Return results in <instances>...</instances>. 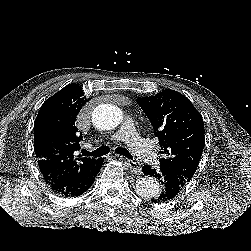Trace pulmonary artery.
Returning a JSON list of instances; mask_svg holds the SVG:
<instances>
[{
    "instance_id": "1",
    "label": "pulmonary artery",
    "mask_w": 251,
    "mask_h": 251,
    "mask_svg": "<svg viewBox=\"0 0 251 251\" xmlns=\"http://www.w3.org/2000/svg\"><path fill=\"white\" fill-rule=\"evenodd\" d=\"M117 140L125 141L133 152L139 155L147 163L152 165L157 164V155L153 151L150 144L143 140L136 132L132 124L125 125L116 134Z\"/></svg>"
}]
</instances>
